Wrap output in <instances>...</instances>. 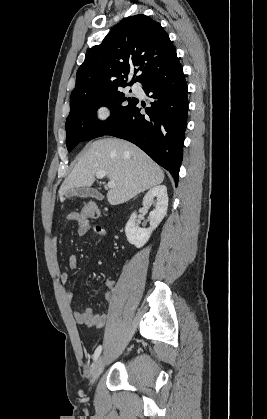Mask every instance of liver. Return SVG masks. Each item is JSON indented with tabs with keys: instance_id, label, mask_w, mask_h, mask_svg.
Instances as JSON below:
<instances>
[{
	"instance_id": "obj_1",
	"label": "liver",
	"mask_w": 267,
	"mask_h": 419,
	"mask_svg": "<svg viewBox=\"0 0 267 419\" xmlns=\"http://www.w3.org/2000/svg\"><path fill=\"white\" fill-rule=\"evenodd\" d=\"M104 171L115 182L107 193L108 202H127L164 180L162 169L136 145L117 138L99 139L88 145L59 190L60 201L71 189L90 187L95 175Z\"/></svg>"
}]
</instances>
